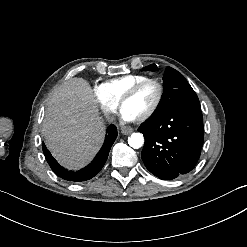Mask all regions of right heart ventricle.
<instances>
[{"label":"right heart ventricle","mask_w":247,"mask_h":247,"mask_svg":"<svg viewBox=\"0 0 247 247\" xmlns=\"http://www.w3.org/2000/svg\"><path fill=\"white\" fill-rule=\"evenodd\" d=\"M145 78L146 77L142 75H128L112 79L103 86L107 89V94L110 96V99L114 102H118L132 87ZM85 111L90 112L88 109H85Z\"/></svg>","instance_id":"e07e8e85"}]
</instances>
